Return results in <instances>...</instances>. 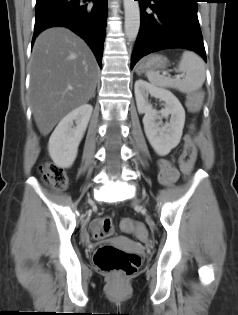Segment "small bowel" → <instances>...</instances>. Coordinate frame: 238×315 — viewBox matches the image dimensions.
Returning <instances> with one entry per match:
<instances>
[{
	"mask_svg": "<svg viewBox=\"0 0 238 315\" xmlns=\"http://www.w3.org/2000/svg\"><path fill=\"white\" fill-rule=\"evenodd\" d=\"M179 177L177 168L168 160L159 162L158 180L164 186L172 185ZM141 226V225H139Z\"/></svg>",
	"mask_w": 238,
	"mask_h": 315,
	"instance_id": "obj_1",
	"label": "small bowel"
}]
</instances>
